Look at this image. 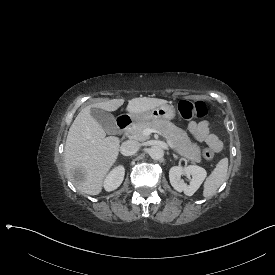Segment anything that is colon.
I'll return each instance as SVG.
<instances>
[{
  "mask_svg": "<svg viewBox=\"0 0 275 275\" xmlns=\"http://www.w3.org/2000/svg\"><path fill=\"white\" fill-rule=\"evenodd\" d=\"M179 114L184 119L207 120L209 119L210 106L203 101L192 102L190 100H182L179 103ZM203 158L210 160L214 157V151L211 148L202 150Z\"/></svg>",
  "mask_w": 275,
  "mask_h": 275,
  "instance_id": "5ec220e1",
  "label": "colon"
}]
</instances>
